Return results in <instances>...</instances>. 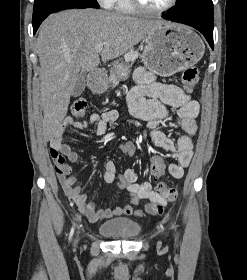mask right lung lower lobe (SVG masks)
I'll use <instances>...</instances> for the list:
<instances>
[{
  "mask_svg": "<svg viewBox=\"0 0 247 280\" xmlns=\"http://www.w3.org/2000/svg\"><path fill=\"white\" fill-rule=\"evenodd\" d=\"M67 8H86L85 6H76V7H67ZM63 9H66V8H63ZM62 10V9H60ZM42 21H39V22H32V25H33V33L35 34L39 25L41 24Z\"/></svg>",
  "mask_w": 247,
  "mask_h": 280,
  "instance_id": "right-lung-lower-lobe-1",
  "label": "right lung lower lobe"
}]
</instances>
